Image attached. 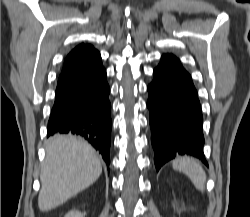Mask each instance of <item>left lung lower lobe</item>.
Wrapping results in <instances>:
<instances>
[{"label":"left lung lower lobe","mask_w":250,"mask_h":217,"mask_svg":"<svg viewBox=\"0 0 250 217\" xmlns=\"http://www.w3.org/2000/svg\"><path fill=\"white\" fill-rule=\"evenodd\" d=\"M153 75L147 107L157 171L184 154L208 165L203 153L201 106L190 74L174 55L164 54Z\"/></svg>","instance_id":"0a47b994"}]
</instances>
